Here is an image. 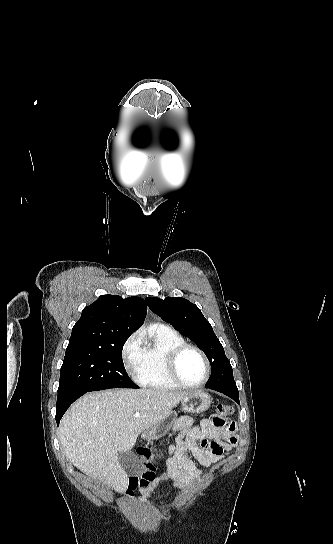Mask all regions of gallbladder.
I'll return each mask as SVG.
<instances>
[{"instance_id": "obj_1", "label": "gallbladder", "mask_w": 333, "mask_h": 544, "mask_svg": "<svg viewBox=\"0 0 333 544\" xmlns=\"http://www.w3.org/2000/svg\"><path fill=\"white\" fill-rule=\"evenodd\" d=\"M118 460L125 471L132 476H139L143 473L144 468L139 458L131 451H119L117 453Z\"/></svg>"}]
</instances>
